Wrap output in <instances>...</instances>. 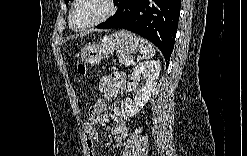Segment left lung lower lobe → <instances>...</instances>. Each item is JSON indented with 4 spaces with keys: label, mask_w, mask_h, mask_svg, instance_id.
<instances>
[{
    "label": "left lung lower lobe",
    "mask_w": 247,
    "mask_h": 156,
    "mask_svg": "<svg viewBox=\"0 0 247 156\" xmlns=\"http://www.w3.org/2000/svg\"><path fill=\"white\" fill-rule=\"evenodd\" d=\"M181 0H120L114 16L97 28L127 29L148 39L162 52L166 64L174 48Z\"/></svg>",
    "instance_id": "0a47b994"
}]
</instances>
